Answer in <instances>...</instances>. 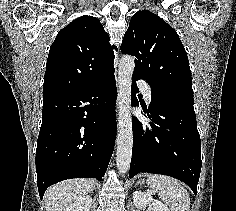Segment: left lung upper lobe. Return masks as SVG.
<instances>
[{"instance_id": "5c2ea615", "label": "left lung upper lobe", "mask_w": 236, "mask_h": 211, "mask_svg": "<svg viewBox=\"0 0 236 211\" xmlns=\"http://www.w3.org/2000/svg\"><path fill=\"white\" fill-rule=\"evenodd\" d=\"M135 56L134 74L146 80L166 102L194 110L192 78L177 32L154 13L136 12L121 44Z\"/></svg>"}]
</instances>
